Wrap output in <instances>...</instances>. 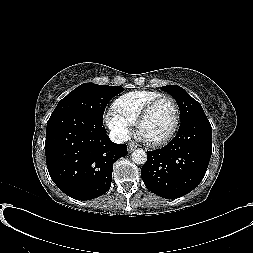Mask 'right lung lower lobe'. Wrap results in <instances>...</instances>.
I'll return each instance as SVG.
<instances>
[{
  "mask_svg": "<svg viewBox=\"0 0 253 253\" xmlns=\"http://www.w3.org/2000/svg\"><path fill=\"white\" fill-rule=\"evenodd\" d=\"M45 154L59 189L74 199L90 200L108 191L113 164L127 155V146L109 139L103 121L64 112L47 122Z\"/></svg>",
  "mask_w": 253,
  "mask_h": 253,
  "instance_id": "right-lung-lower-lobe-1",
  "label": "right lung lower lobe"
}]
</instances>
